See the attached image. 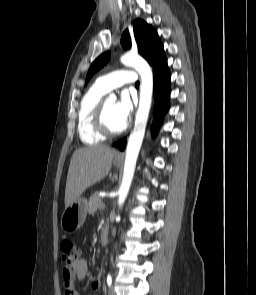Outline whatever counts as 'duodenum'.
Returning a JSON list of instances; mask_svg holds the SVG:
<instances>
[{"instance_id": "1", "label": "duodenum", "mask_w": 256, "mask_h": 295, "mask_svg": "<svg viewBox=\"0 0 256 295\" xmlns=\"http://www.w3.org/2000/svg\"><path fill=\"white\" fill-rule=\"evenodd\" d=\"M107 238H108V227L104 225L100 234V243L104 245L107 242Z\"/></svg>"}]
</instances>
